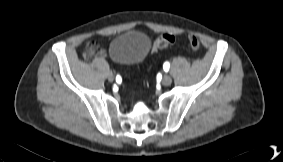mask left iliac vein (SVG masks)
Returning <instances> with one entry per match:
<instances>
[{"label":"left iliac vein","mask_w":283,"mask_h":162,"mask_svg":"<svg viewBox=\"0 0 283 162\" xmlns=\"http://www.w3.org/2000/svg\"><path fill=\"white\" fill-rule=\"evenodd\" d=\"M172 83V78L168 75H165L163 78H162V84L165 85V86H169L170 84Z\"/></svg>","instance_id":"4c4485c4"}]
</instances>
